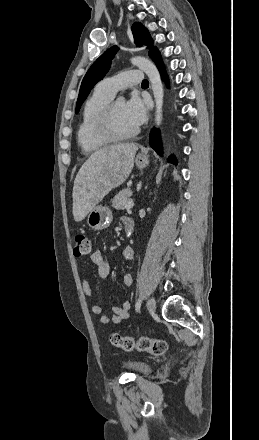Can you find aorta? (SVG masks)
I'll use <instances>...</instances> for the list:
<instances>
[{"instance_id":"1","label":"aorta","mask_w":259,"mask_h":440,"mask_svg":"<svg viewBox=\"0 0 259 440\" xmlns=\"http://www.w3.org/2000/svg\"><path fill=\"white\" fill-rule=\"evenodd\" d=\"M131 63L141 69L149 78L154 100H155V123L157 127H160L162 124L163 118V85L161 81L160 74L155 67V65L145 57H133L131 59ZM119 100L123 101V97H119Z\"/></svg>"}]
</instances>
